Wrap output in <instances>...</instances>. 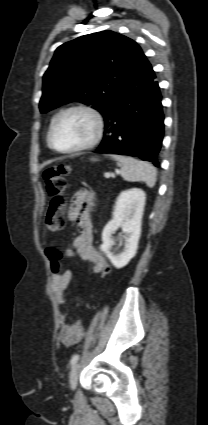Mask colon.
<instances>
[{
    "instance_id": "5ec220e1",
    "label": "colon",
    "mask_w": 208,
    "mask_h": 425,
    "mask_svg": "<svg viewBox=\"0 0 208 425\" xmlns=\"http://www.w3.org/2000/svg\"><path fill=\"white\" fill-rule=\"evenodd\" d=\"M72 172V168L68 165L58 164L47 168L43 173L46 191L51 197L50 205L46 214V225L50 232L55 233L61 229L64 222V194L67 188L66 176ZM51 262L52 272L61 270L64 254L72 256V251L63 252L56 248L50 247L46 251ZM110 273V267L105 266L100 272V276L105 278Z\"/></svg>"
}]
</instances>
